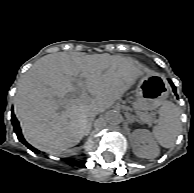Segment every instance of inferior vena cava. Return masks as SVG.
<instances>
[{
  "label": "inferior vena cava",
  "instance_id": "602c4592",
  "mask_svg": "<svg viewBox=\"0 0 194 193\" xmlns=\"http://www.w3.org/2000/svg\"><path fill=\"white\" fill-rule=\"evenodd\" d=\"M100 112H102L101 109H99V108H94L92 111L89 112L88 117H89V118H93V117H95V116H96L98 113H100Z\"/></svg>",
  "mask_w": 194,
  "mask_h": 193
}]
</instances>
